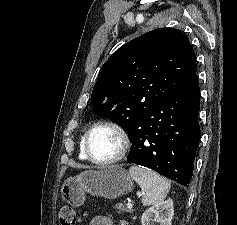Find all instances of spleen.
Returning <instances> with one entry per match:
<instances>
[{
    "mask_svg": "<svg viewBox=\"0 0 237 225\" xmlns=\"http://www.w3.org/2000/svg\"><path fill=\"white\" fill-rule=\"evenodd\" d=\"M129 174L144 191L142 196L144 206L155 205L166 198L171 187L166 178L140 166H131Z\"/></svg>",
    "mask_w": 237,
    "mask_h": 225,
    "instance_id": "obj_1",
    "label": "spleen"
}]
</instances>
